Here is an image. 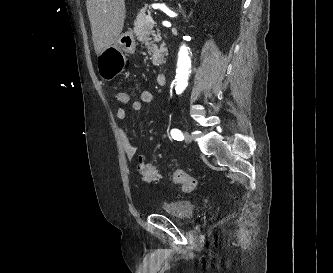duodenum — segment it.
I'll return each mask as SVG.
<instances>
[{"label":"duodenum","instance_id":"410a0bca","mask_svg":"<svg viewBox=\"0 0 333 273\" xmlns=\"http://www.w3.org/2000/svg\"><path fill=\"white\" fill-rule=\"evenodd\" d=\"M157 84L160 87H163L167 84V74L165 72H161L157 76Z\"/></svg>","mask_w":333,"mask_h":273}]
</instances>
